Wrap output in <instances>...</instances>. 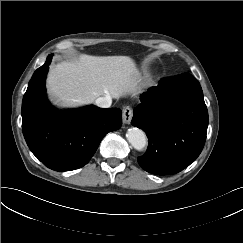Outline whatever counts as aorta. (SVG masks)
Returning a JSON list of instances; mask_svg holds the SVG:
<instances>
[{"mask_svg": "<svg viewBox=\"0 0 243 243\" xmlns=\"http://www.w3.org/2000/svg\"><path fill=\"white\" fill-rule=\"evenodd\" d=\"M127 140L128 142L136 149L143 150L147 144V139L145 133L138 128H130L127 131Z\"/></svg>", "mask_w": 243, "mask_h": 243, "instance_id": "1", "label": "aorta"}]
</instances>
